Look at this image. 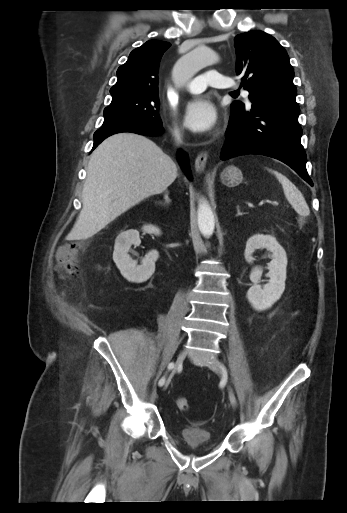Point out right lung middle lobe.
Wrapping results in <instances>:
<instances>
[{"label": "right lung middle lobe", "instance_id": "obj_1", "mask_svg": "<svg viewBox=\"0 0 347 513\" xmlns=\"http://www.w3.org/2000/svg\"><path fill=\"white\" fill-rule=\"evenodd\" d=\"M158 93H124L113 97L104 110L103 125L124 120H138L149 124L162 125Z\"/></svg>", "mask_w": 347, "mask_h": 513}]
</instances>
